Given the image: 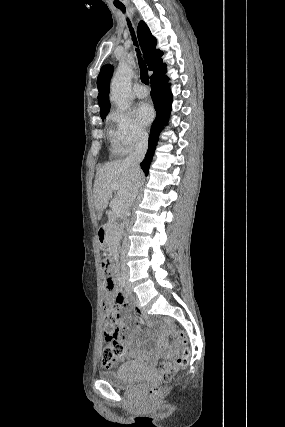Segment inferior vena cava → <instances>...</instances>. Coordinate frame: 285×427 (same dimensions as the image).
Masks as SVG:
<instances>
[{"label": "inferior vena cava", "instance_id": "inferior-vena-cava-1", "mask_svg": "<svg viewBox=\"0 0 285 427\" xmlns=\"http://www.w3.org/2000/svg\"><path fill=\"white\" fill-rule=\"evenodd\" d=\"M147 148H148V135L147 134H140L138 139H137L136 145H135V151L133 153H131L125 159V162L130 165L131 170L136 175V180H135V184H134L133 191H132L131 202L136 197V195L138 194V189H139L141 176H142V172L140 169V163L145 157ZM131 202H130V204H131ZM130 204H129V206H130ZM126 241L127 240L125 238L123 241V253H125V249L127 247ZM122 270L125 273H128V268H127L125 263L122 264Z\"/></svg>", "mask_w": 285, "mask_h": 427}]
</instances>
